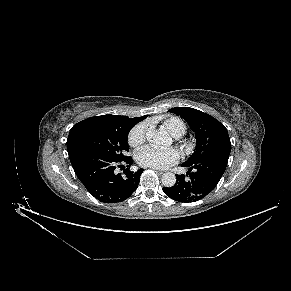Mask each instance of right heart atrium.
I'll return each mask as SVG.
<instances>
[{
  "label": "right heart atrium",
  "instance_id": "1",
  "mask_svg": "<svg viewBox=\"0 0 291 291\" xmlns=\"http://www.w3.org/2000/svg\"><path fill=\"white\" fill-rule=\"evenodd\" d=\"M146 124L135 126L128 135V142L132 147H138L145 141Z\"/></svg>",
  "mask_w": 291,
  "mask_h": 291
}]
</instances>
